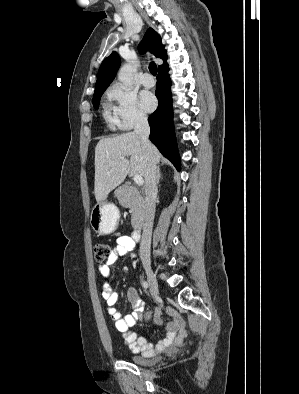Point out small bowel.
Listing matches in <instances>:
<instances>
[{"instance_id": "1", "label": "small bowel", "mask_w": 299, "mask_h": 394, "mask_svg": "<svg viewBox=\"0 0 299 394\" xmlns=\"http://www.w3.org/2000/svg\"><path fill=\"white\" fill-rule=\"evenodd\" d=\"M135 241L132 236L119 235L116 238V244L111 252L110 258L106 263L99 266V272L103 278L102 294L108 306V313L114 320L115 328L122 334L125 344L134 352L145 357H152L166 350H172L179 346L186 335L184 322L177 312L169 308L168 314L173 317V321L164 323L160 318V310L156 309L154 313L143 314V303L137 290L133 287L127 290V298L132 305V311L122 316L116 309L119 295L115 292L110 284L112 277V266L116 261L126 255H130L135 260L136 256L132 253ZM151 318L158 325H163L166 329V336L158 343L148 342L144 337L138 336L132 328L139 320H150Z\"/></svg>"}]
</instances>
